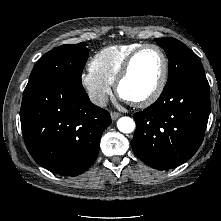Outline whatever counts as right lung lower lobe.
<instances>
[{
	"mask_svg": "<svg viewBox=\"0 0 221 221\" xmlns=\"http://www.w3.org/2000/svg\"><path fill=\"white\" fill-rule=\"evenodd\" d=\"M25 145L47 170L77 176L96 160L109 113L95 106L82 85L29 81L20 112Z\"/></svg>",
	"mask_w": 221,
	"mask_h": 221,
	"instance_id": "98d812e1",
	"label": "right lung lower lobe"
}]
</instances>
